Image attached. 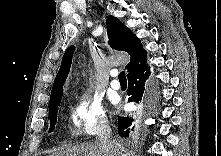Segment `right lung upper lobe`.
<instances>
[{
    "label": "right lung upper lobe",
    "mask_w": 221,
    "mask_h": 156,
    "mask_svg": "<svg viewBox=\"0 0 221 156\" xmlns=\"http://www.w3.org/2000/svg\"><path fill=\"white\" fill-rule=\"evenodd\" d=\"M107 33L112 48L124 50L131 56L130 62L126 65L128 74L132 70L146 65L147 53L142 48L140 39L119 19L113 16L107 18ZM74 49V46L69 47L63 55L60 70L53 84L49 106L62 97L63 85L70 71Z\"/></svg>",
    "instance_id": "right-lung-upper-lobe-1"
}]
</instances>
